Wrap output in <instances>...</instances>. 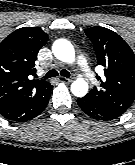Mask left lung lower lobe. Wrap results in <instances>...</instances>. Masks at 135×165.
<instances>
[{"label": "left lung lower lobe", "instance_id": "obj_1", "mask_svg": "<svg viewBox=\"0 0 135 165\" xmlns=\"http://www.w3.org/2000/svg\"><path fill=\"white\" fill-rule=\"evenodd\" d=\"M80 108L90 117L97 120H112L121 116L113 109L109 108L102 102L97 101L92 96H85L77 100Z\"/></svg>", "mask_w": 135, "mask_h": 165}]
</instances>
